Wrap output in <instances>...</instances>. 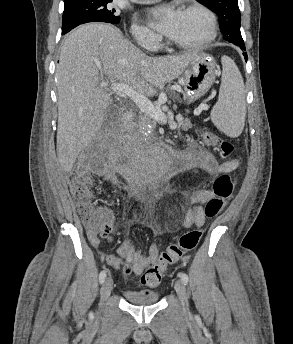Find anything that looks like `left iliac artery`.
Wrapping results in <instances>:
<instances>
[{"mask_svg": "<svg viewBox=\"0 0 293 344\" xmlns=\"http://www.w3.org/2000/svg\"><path fill=\"white\" fill-rule=\"evenodd\" d=\"M178 276L181 278L182 282L186 285L188 283V275L184 272H180Z\"/></svg>", "mask_w": 293, "mask_h": 344, "instance_id": "44dca946", "label": "left iliac artery"}]
</instances>
